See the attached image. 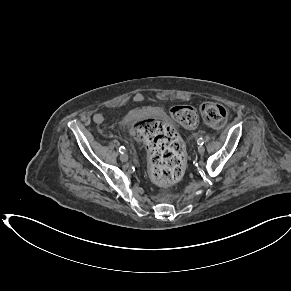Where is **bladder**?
Here are the masks:
<instances>
[{
  "label": "bladder",
  "instance_id": "1",
  "mask_svg": "<svg viewBox=\"0 0 291 291\" xmlns=\"http://www.w3.org/2000/svg\"><path fill=\"white\" fill-rule=\"evenodd\" d=\"M130 125H131V120H129V121L126 123V126H127V127H130Z\"/></svg>",
  "mask_w": 291,
  "mask_h": 291
}]
</instances>
